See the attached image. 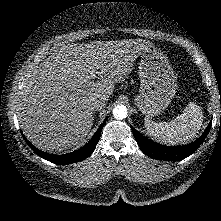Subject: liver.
<instances>
[{
  "label": "liver",
  "instance_id": "6515ba94",
  "mask_svg": "<svg viewBox=\"0 0 221 221\" xmlns=\"http://www.w3.org/2000/svg\"><path fill=\"white\" fill-rule=\"evenodd\" d=\"M152 46L142 39L95 41L54 51L25 79L20 93L18 118L25 136L47 152L81 144L93 124V102L107 101Z\"/></svg>",
  "mask_w": 221,
  "mask_h": 221
}]
</instances>
